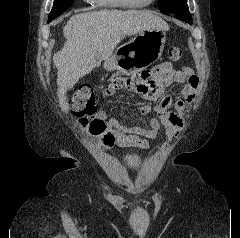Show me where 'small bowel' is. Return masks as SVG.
<instances>
[{"mask_svg": "<svg viewBox=\"0 0 240 238\" xmlns=\"http://www.w3.org/2000/svg\"><path fill=\"white\" fill-rule=\"evenodd\" d=\"M173 82L186 84L179 96L173 98L167 95L154 107L141 105L138 108L141 115H147L151 110L157 115L150 120L148 128L140 125H122L114 117H107L104 111L96 112L94 117L105 121L107 131L113 137L112 143L108 146L115 144L119 147L134 146L149 149L148 140L156 138L161 131L165 138L161 148L165 149L171 138L181 130L185 105L193 100L198 86V78L192 68L184 66L177 69L169 62L159 64L150 73L143 72L138 79L113 80L105 88L103 93L105 97L125 88L136 95L154 100L162 97L165 88ZM171 107H174L175 111H171Z\"/></svg>", "mask_w": 240, "mask_h": 238, "instance_id": "obj_1", "label": "small bowel"}]
</instances>
